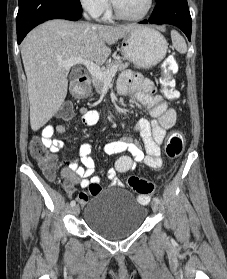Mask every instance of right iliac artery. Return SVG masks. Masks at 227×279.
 <instances>
[{
	"label": "right iliac artery",
	"mask_w": 227,
	"mask_h": 279,
	"mask_svg": "<svg viewBox=\"0 0 227 279\" xmlns=\"http://www.w3.org/2000/svg\"><path fill=\"white\" fill-rule=\"evenodd\" d=\"M75 204H76V202L74 200H72L71 203H70L71 207H74Z\"/></svg>",
	"instance_id": "obj_1"
}]
</instances>
